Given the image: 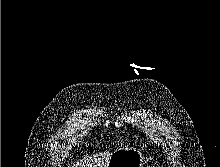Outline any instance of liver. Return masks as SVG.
I'll use <instances>...</instances> for the list:
<instances>
[{
    "label": "liver",
    "instance_id": "1",
    "mask_svg": "<svg viewBox=\"0 0 220 167\" xmlns=\"http://www.w3.org/2000/svg\"><path fill=\"white\" fill-rule=\"evenodd\" d=\"M111 153L103 152L77 161L72 167H107Z\"/></svg>",
    "mask_w": 220,
    "mask_h": 167
}]
</instances>
